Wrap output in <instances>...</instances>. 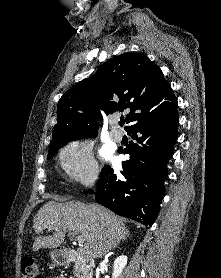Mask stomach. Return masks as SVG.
<instances>
[{
    "label": "stomach",
    "mask_w": 221,
    "mask_h": 278,
    "mask_svg": "<svg viewBox=\"0 0 221 278\" xmlns=\"http://www.w3.org/2000/svg\"><path fill=\"white\" fill-rule=\"evenodd\" d=\"M51 258L55 263H58L60 261L58 254H56L55 252L51 253Z\"/></svg>",
    "instance_id": "obj_1"
}]
</instances>
